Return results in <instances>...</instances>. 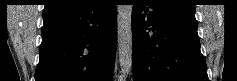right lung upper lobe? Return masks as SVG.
Wrapping results in <instances>:
<instances>
[{"instance_id": "1", "label": "right lung upper lobe", "mask_w": 237, "mask_h": 81, "mask_svg": "<svg viewBox=\"0 0 237 81\" xmlns=\"http://www.w3.org/2000/svg\"><path fill=\"white\" fill-rule=\"evenodd\" d=\"M81 1L83 0H47L46 5H44L43 15L72 8Z\"/></svg>"}]
</instances>
